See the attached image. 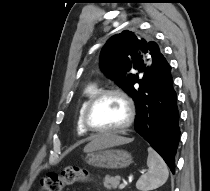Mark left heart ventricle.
I'll return each instance as SVG.
<instances>
[{
	"instance_id": "obj_1",
	"label": "left heart ventricle",
	"mask_w": 210,
	"mask_h": 191,
	"mask_svg": "<svg viewBox=\"0 0 210 191\" xmlns=\"http://www.w3.org/2000/svg\"><path fill=\"white\" fill-rule=\"evenodd\" d=\"M126 118V104L116 95L101 98L90 113L91 124L100 129L119 127L126 121Z\"/></svg>"
}]
</instances>
